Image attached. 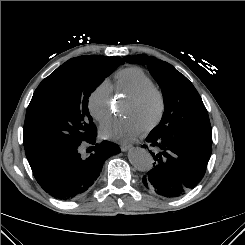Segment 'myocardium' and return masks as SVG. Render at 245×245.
Returning a JSON list of instances; mask_svg holds the SVG:
<instances>
[{
	"instance_id": "obj_1",
	"label": "myocardium",
	"mask_w": 245,
	"mask_h": 245,
	"mask_svg": "<svg viewBox=\"0 0 245 245\" xmlns=\"http://www.w3.org/2000/svg\"><path fill=\"white\" fill-rule=\"evenodd\" d=\"M149 91L154 92L158 96L159 109H158V113H157L155 119L145 129H143L141 131L142 134L150 133L156 127H158V125L163 120V117H164V114H165V110H166L165 94H164L162 88L159 85L151 82V83H148V84H145V85L139 87L136 91H134L131 95H129L126 98V100H125V103L138 101L139 99H141Z\"/></svg>"
}]
</instances>
